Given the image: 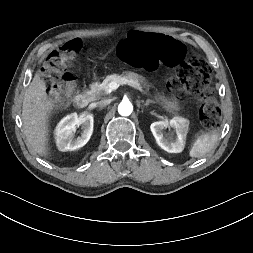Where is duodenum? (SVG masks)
<instances>
[{"instance_id": "obj_1", "label": "duodenum", "mask_w": 253, "mask_h": 253, "mask_svg": "<svg viewBox=\"0 0 253 253\" xmlns=\"http://www.w3.org/2000/svg\"><path fill=\"white\" fill-rule=\"evenodd\" d=\"M95 98V87L92 86L88 91L77 95L74 98V105L77 108H85Z\"/></svg>"}]
</instances>
